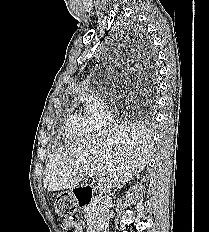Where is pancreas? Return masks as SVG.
Returning <instances> with one entry per match:
<instances>
[{
    "mask_svg": "<svg viewBox=\"0 0 209 232\" xmlns=\"http://www.w3.org/2000/svg\"><path fill=\"white\" fill-rule=\"evenodd\" d=\"M85 212H86L85 217L87 219V223L89 225L95 223L96 219H98V214H99L98 207L96 205H91L85 209Z\"/></svg>",
    "mask_w": 209,
    "mask_h": 232,
    "instance_id": "1",
    "label": "pancreas"
}]
</instances>
